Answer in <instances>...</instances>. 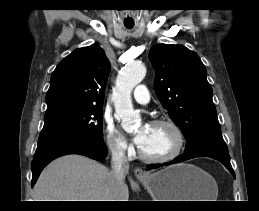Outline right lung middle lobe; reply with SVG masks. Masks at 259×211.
<instances>
[{
  "mask_svg": "<svg viewBox=\"0 0 259 211\" xmlns=\"http://www.w3.org/2000/svg\"><path fill=\"white\" fill-rule=\"evenodd\" d=\"M102 106H93L60 119L44 123L40 137L82 135L102 140Z\"/></svg>",
  "mask_w": 259,
  "mask_h": 211,
  "instance_id": "right-lung-middle-lobe-1",
  "label": "right lung middle lobe"
}]
</instances>
